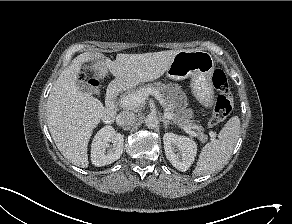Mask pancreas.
Wrapping results in <instances>:
<instances>
[{
    "label": "pancreas",
    "instance_id": "obj_1",
    "mask_svg": "<svg viewBox=\"0 0 292 224\" xmlns=\"http://www.w3.org/2000/svg\"><path fill=\"white\" fill-rule=\"evenodd\" d=\"M152 90L158 92L161 98L165 101L170 113L172 114L173 122L179 126H196L193 120L189 118L192 115L191 109H187V96L184 91H182L181 86L171 83L164 84L162 82L149 83L143 85L136 90L129 91V94L135 93L137 91H147ZM211 126V124H209ZM199 139L204 142L207 137L203 133H199Z\"/></svg>",
    "mask_w": 292,
    "mask_h": 224
}]
</instances>
